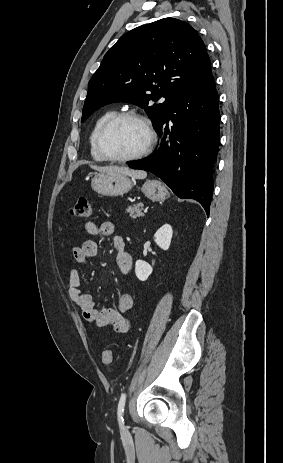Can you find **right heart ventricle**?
Segmentation results:
<instances>
[{"mask_svg": "<svg viewBox=\"0 0 283 463\" xmlns=\"http://www.w3.org/2000/svg\"><path fill=\"white\" fill-rule=\"evenodd\" d=\"M117 112L115 109H108L106 111H104L102 114H100L98 116V118L96 119V121L94 122V125L91 129V132L89 134V150H90V154L92 156L93 159L97 160V161H103L105 160L101 154L99 153V151L97 150V146H96V136H97V133L100 129V127L102 126V124L108 119L110 118L111 116L115 115Z\"/></svg>", "mask_w": 283, "mask_h": 463, "instance_id": "e07e8e85", "label": "right heart ventricle"}]
</instances>
